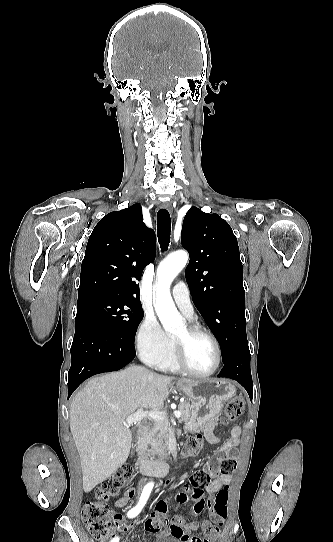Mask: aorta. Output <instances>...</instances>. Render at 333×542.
<instances>
[{
    "mask_svg": "<svg viewBox=\"0 0 333 542\" xmlns=\"http://www.w3.org/2000/svg\"><path fill=\"white\" fill-rule=\"evenodd\" d=\"M187 262L186 252H174L158 266L154 308L165 332L183 328L182 316L172 300L170 286Z\"/></svg>",
    "mask_w": 333,
    "mask_h": 542,
    "instance_id": "obj_1",
    "label": "aorta"
}]
</instances>
